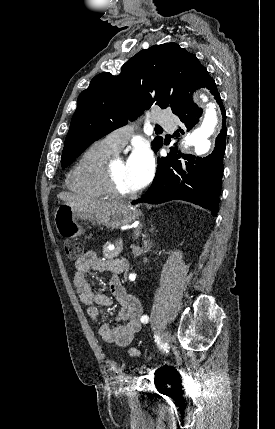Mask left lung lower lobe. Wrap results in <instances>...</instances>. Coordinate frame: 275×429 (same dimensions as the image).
I'll return each instance as SVG.
<instances>
[{
    "label": "left lung lower lobe",
    "instance_id": "left-lung-lower-lobe-1",
    "mask_svg": "<svg viewBox=\"0 0 275 429\" xmlns=\"http://www.w3.org/2000/svg\"><path fill=\"white\" fill-rule=\"evenodd\" d=\"M202 87L209 89L216 97L223 115L222 130L216 138L213 152L201 158L182 154L177 148L171 149L167 157L158 159V168L151 187L132 204H160L171 200H185L209 209L213 216H217L226 147V115L215 81L205 67L200 71L196 84V89ZM175 114L181 120L176 131L179 135V132L184 134L185 130H190L199 121L202 109L191 99Z\"/></svg>",
    "mask_w": 275,
    "mask_h": 429
}]
</instances>
